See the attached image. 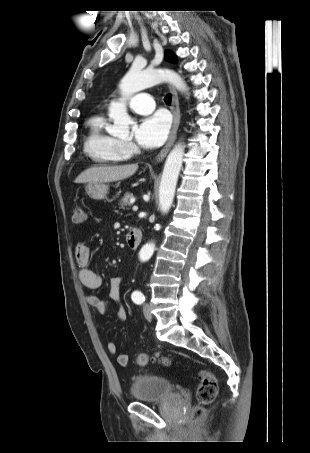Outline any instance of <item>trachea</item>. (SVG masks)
<instances>
[{
  "label": "trachea",
  "mask_w": 310,
  "mask_h": 453,
  "mask_svg": "<svg viewBox=\"0 0 310 453\" xmlns=\"http://www.w3.org/2000/svg\"><path fill=\"white\" fill-rule=\"evenodd\" d=\"M172 95L168 94L165 96L164 101L166 104H171Z\"/></svg>",
  "instance_id": "1"
}]
</instances>
